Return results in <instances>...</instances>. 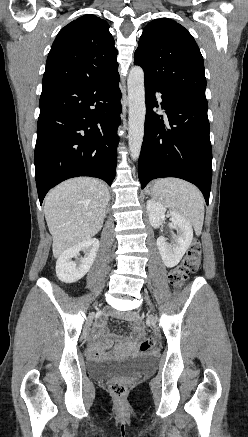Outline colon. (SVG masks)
Returning a JSON list of instances; mask_svg holds the SVG:
<instances>
[{"label": "colon", "mask_w": 248, "mask_h": 437, "mask_svg": "<svg viewBox=\"0 0 248 437\" xmlns=\"http://www.w3.org/2000/svg\"><path fill=\"white\" fill-rule=\"evenodd\" d=\"M201 260V245L199 241L194 240L187 253L185 254L182 262L176 268L169 272L168 279L170 284L179 289L183 286L187 280L190 273L197 270L200 265ZM156 345V340L153 337H147L140 345V350L142 352H148L152 350ZM109 388L112 394L118 398L122 399L127 393V387L123 382L111 381L109 383Z\"/></svg>", "instance_id": "5ec220e1"}]
</instances>
